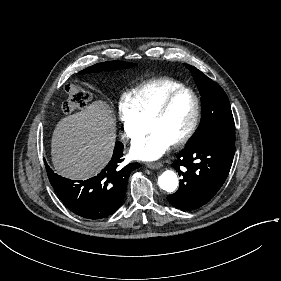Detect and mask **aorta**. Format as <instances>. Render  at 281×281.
<instances>
[{"label": "aorta", "mask_w": 281, "mask_h": 281, "mask_svg": "<svg viewBox=\"0 0 281 281\" xmlns=\"http://www.w3.org/2000/svg\"><path fill=\"white\" fill-rule=\"evenodd\" d=\"M158 185L166 192H174L178 186V178L174 171L166 170L158 178Z\"/></svg>", "instance_id": "762f6f07"}]
</instances>
